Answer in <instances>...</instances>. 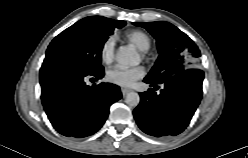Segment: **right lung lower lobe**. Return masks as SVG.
I'll use <instances>...</instances> for the list:
<instances>
[{"instance_id": "right-lung-lower-lobe-1", "label": "right lung lower lobe", "mask_w": 248, "mask_h": 158, "mask_svg": "<svg viewBox=\"0 0 248 158\" xmlns=\"http://www.w3.org/2000/svg\"><path fill=\"white\" fill-rule=\"evenodd\" d=\"M104 68L83 72L70 67L42 66L41 100L53 127L64 136L82 138L97 132L106 121L111 104L122 94L109 83L88 86L86 77L98 80Z\"/></svg>"}]
</instances>
